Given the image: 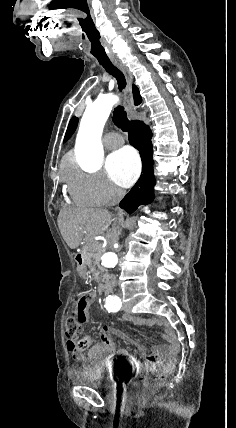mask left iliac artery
I'll use <instances>...</instances> for the list:
<instances>
[{
  "label": "left iliac artery",
  "mask_w": 236,
  "mask_h": 428,
  "mask_svg": "<svg viewBox=\"0 0 236 428\" xmlns=\"http://www.w3.org/2000/svg\"><path fill=\"white\" fill-rule=\"evenodd\" d=\"M122 306L121 299L117 296L109 295L106 298V305L104 307L108 310V312H117L120 310Z\"/></svg>",
  "instance_id": "44dca946"
}]
</instances>
